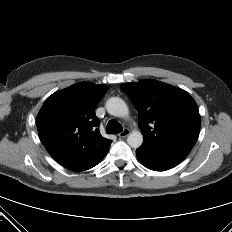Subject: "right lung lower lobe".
Here are the masks:
<instances>
[{"instance_id": "right-lung-lower-lobe-1", "label": "right lung lower lobe", "mask_w": 232, "mask_h": 232, "mask_svg": "<svg viewBox=\"0 0 232 232\" xmlns=\"http://www.w3.org/2000/svg\"><path fill=\"white\" fill-rule=\"evenodd\" d=\"M103 159V158H102ZM102 159L100 160H96V161H92V162H86V163H81V164H75L72 166L67 167L70 170L73 171H84L87 169H90L92 167H94L95 165H97Z\"/></svg>"}]
</instances>
